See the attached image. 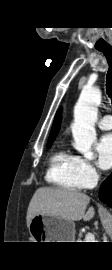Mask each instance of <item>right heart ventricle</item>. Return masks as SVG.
<instances>
[{"label":"right heart ventricle","mask_w":112,"mask_h":270,"mask_svg":"<svg viewBox=\"0 0 112 270\" xmlns=\"http://www.w3.org/2000/svg\"><path fill=\"white\" fill-rule=\"evenodd\" d=\"M46 180L65 190H80L82 186L77 175L76 157L64 148L57 149L49 159Z\"/></svg>","instance_id":"e07e8e85"}]
</instances>
